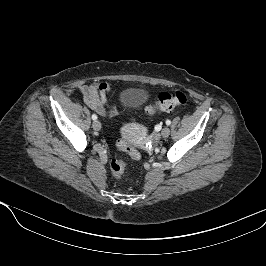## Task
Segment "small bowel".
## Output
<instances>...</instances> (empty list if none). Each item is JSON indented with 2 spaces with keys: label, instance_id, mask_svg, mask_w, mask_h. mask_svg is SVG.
<instances>
[{
  "label": "small bowel",
  "instance_id": "small-bowel-1",
  "mask_svg": "<svg viewBox=\"0 0 266 266\" xmlns=\"http://www.w3.org/2000/svg\"><path fill=\"white\" fill-rule=\"evenodd\" d=\"M111 87L105 82H92L81 87L84 102L102 116H114L118 106L110 100Z\"/></svg>",
  "mask_w": 266,
  "mask_h": 266
}]
</instances>
